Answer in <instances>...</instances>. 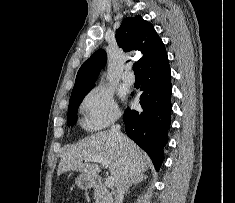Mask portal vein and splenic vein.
I'll use <instances>...</instances> for the list:
<instances>
[{"instance_id": "18ae733b", "label": "portal vein and splenic vein", "mask_w": 235, "mask_h": 203, "mask_svg": "<svg viewBox=\"0 0 235 203\" xmlns=\"http://www.w3.org/2000/svg\"><path fill=\"white\" fill-rule=\"evenodd\" d=\"M88 162H97V163H100L103 165V167L105 168H108L109 167V164H108V161H106L105 159H103L102 157H93L91 159H87ZM114 177H108L106 178V181H105V187L107 188H110L114 185Z\"/></svg>"}]
</instances>
